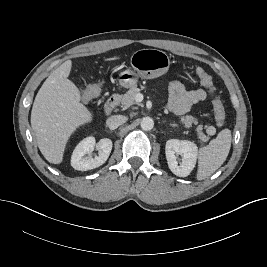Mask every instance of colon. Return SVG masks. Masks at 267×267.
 <instances>
[{"mask_svg": "<svg viewBox=\"0 0 267 267\" xmlns=\"http://www.w3.org/2000/svg\"><path fill=\"white\" fill-rule=\"evenodd\" d=\"M196 74L199 77L201 84L205 86L209 90L210 94L213 96L212 104H213L214 118L217 125L222 126L226 119V111L220 97L216 95V89L213 85L212 78L202 68H197ZM100 92H101L100 84L87 85L82 90V99L84 102H90L91 100L98 97Z\"/></svg>", "mask_w": 267, "mask_h": 267, "instance_id": "obj_1", "label": "colon"}]
</instances>
